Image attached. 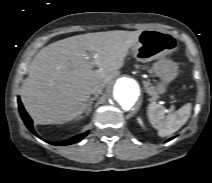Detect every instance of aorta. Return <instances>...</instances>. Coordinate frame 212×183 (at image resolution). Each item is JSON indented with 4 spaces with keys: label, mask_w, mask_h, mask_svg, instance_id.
Returning <instances> with one entry per match:
<instances>
[{
    "label": "aorta",
    "mask_w": 212,
    "mask_h": 183,
    "mask_svg": "<svg viewBox=\"0 0 212 183\" xmlns=\"http://www.w3.org/2000/svg\"><path fill=\"white\" fill-rule=\"evenodd\" d=\"M112 98L117 107L123 110H131L140 98V86L132 78L121 77L113 86Z\"/></svg>",
    "instance_id": "762f6f07"
}]
</instances>
